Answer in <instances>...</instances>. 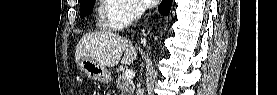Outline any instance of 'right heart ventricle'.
I'll return each mask as SVG.
<instances>
[{"instance_id": "e07e8e85", "label": "right heart ventricle", "mask_w": 277, "mask_h": 95, "mask_svg": "<svg viewBox=\"0 0 277 95\" xmlns=\"http://www.w3.org/2000/svg\"><path fill=\"white\" fill-rule=\"evenodd\" d=\"M120 7L115 0H100L98 10V26L103 30H112L115 28L116 15L114 11Z\"/></svg>"}]
</instances>
